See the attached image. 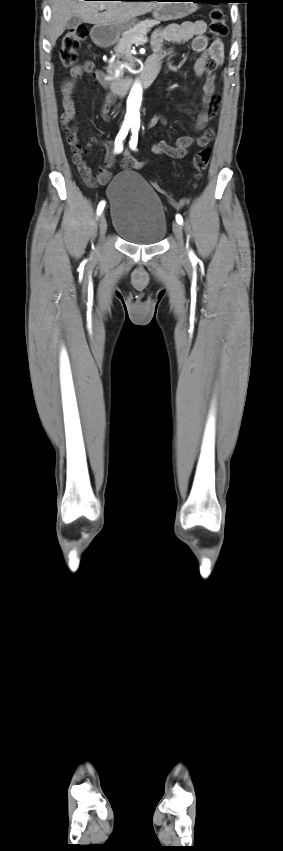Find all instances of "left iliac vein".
Returning a JSON list of instances; mask_svg holds the SVG:
<instances>
[{
  "instance_id": "left-iliac-vein-1",
  "label": "left iliac vein",
  "mask_w": 283,
  "mask_h": 851,
  "mask_svg": "<svg viewBox=\"0 0 283 851\" xmlns=\"http://www.w3.org/2000/svg\"><path fill=\"white\" fill-rule=\"evenodd\" d=\"M172 229H173V233H174V235H175V237H176V239L179 243L180 249H181L182 253H184L185 248H184L182 227L178 222H173Z\"/></svg>"
}]
</instances>
